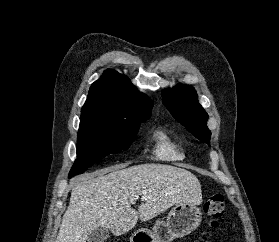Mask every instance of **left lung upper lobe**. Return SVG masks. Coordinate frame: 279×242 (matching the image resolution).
I'll list each match as a JSON object with an SVG mask.
<instances>
[{
  "label": "left lung upper lobe",
  "mask_w": 279,
  "mask_h": 242,
  "mask_svg": "<svg viewBox=\"0 0 279 242\" xmlns=\"http://www.w3.org/2000/svg\"><path fill=\"white\" fill-rule=\"evenodd\" d=\"M163 104L172 116L185 126L196 138L210 143L211 132L207 127L208 114L198 103L193 87L177 85L162 92Z\"/></svg>",
  "instance_id": "1"
}]
</instances>
